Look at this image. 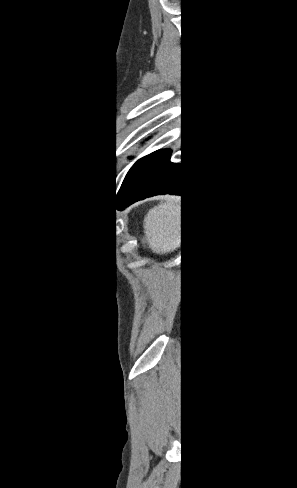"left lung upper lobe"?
<instances>
[{
    "label": "left lung upper lobe",
    "mask_w": 297,
    "mask_h": 488,
    "mask_svg": "<svg viewBox=\"0 0 297 488\" xmlns=\"http://www.w3.org/2000/svg\"><path fill=\"white\" fill-rule=\"evenodd\" d=\"M161 150H158L156 152H153L152 154H149L140 160H138L133 167L129 170L127 173L121 188L119 190V195L123 194L130 186L131 184L136 180V178L142 173V171L145 169V167L148 165V163L153 159V157L159 153Z\"/></svg>",
    "instance_id": "5c2ea615"
}]
</instances>
